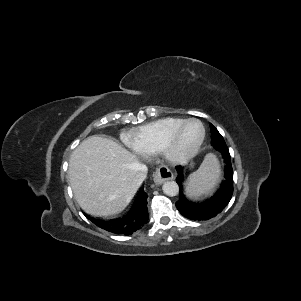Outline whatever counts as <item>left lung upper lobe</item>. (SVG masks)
Returning <instances> with one entry per match:
<instances>
[{
  "instance_id": "left-lung-upper-lobe-1",
  "label": "left lung upper lobe",
  "mask_w": 301,
  "mask_h": 301,
  "mask_svg": "<svg viewBox=\"0 0 301 301\" xmlns=\"http://www.w3.org/2000/svg\"><path fill=\"white\" fill-rule=\"evenodd\" d=\"M210 129H211V144L213 145V147L215 149H219L218 145L215 144L216 141L220 142L221 144H225L226 145L223 137L218 132V130L216 129V127H214L212 124H210ZM214 137H215V139H214Z\"/></svg>"
}]
</instances>
